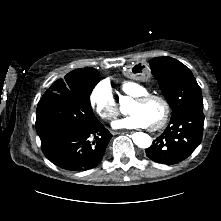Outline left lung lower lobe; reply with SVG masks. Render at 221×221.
Segmentation results:
<instances>
[{"instance_id":"left-lung-lower-lobe-1","label":"left lung lower lobe","mask_w":221,"mask_h":221,"mask_svg":"<svg viewBox=\"0 0 221 221\" xmlns=\"http://www.w3.org/2000/svg\"><path fill=\"white\" fill-rule=\"evenodd\" d=\"M203 125V108L191 109L180 116L173 117L163 134L145 150L146 156L157 163L166 165L183 161L201 143ZM172 141L175 142V154L168 157L165 152Z\"/></svg>"}]
</instances>
